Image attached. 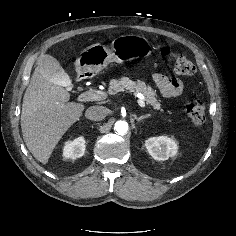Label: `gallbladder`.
I'll list each match as a JSON object with an SVG mask.
<instances>
[{
	"label": "gallbladder",
	"mask_w": 236,
	"mask_h": 236,
	"mask_svg": "<svg viewBox=\"0 0 236 236\" xmlns=\"http://www.w3.org/2000/svg\"><path fill=\"white\" fill-rule=\"evenodd\" d=\"M40 61L44 64V70L49 80L60 84L65 80L66 73L55 58L43 55L40 57Z\"/></svg>",
	"instance_id": "bac80fb5"
}]
</instances>
